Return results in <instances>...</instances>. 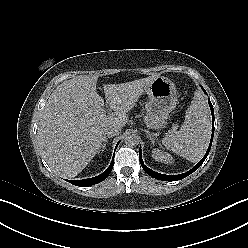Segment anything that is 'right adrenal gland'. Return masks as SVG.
<instances>
[{
	"mask_svg": "<svg viewBox=\"0 0 248 248\" xmlns=\"http://www.w3.org/2000/svg\"><path fill=\"white\" fill-rule=\"evenodd\" d=\"M109 138H111V136H108V137L105 138V140H104V142H103V144H102V146H101L102 151L105 149L106 144L108 143V139H109Z\"/></svg>",
	"mask_w": 248,
	"mask_h": 248,
	"instance_id": "2a0ac1e0",
	"label": "right adrenal gland"
}]
</instances>
